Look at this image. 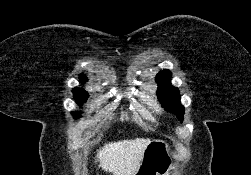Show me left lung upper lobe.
Masks as SVG:
<instances>
[{"mask_svg": "<svg viewBox=\"0 0 251 175\" xmlns=\"http://www.w3.org/2000/svg\"><path fill=\"white\" fill-rule=\"evenodd\" d=\"M158 83L157 97L163 107L177 115L179 120H183L184 108L180 104L178 89L171 86V72L163 70L155 78Z\"/></svg>", "mask_w": 251, "mask_h": 175, "instance_id": "5c2ea615", "label": "left lung upper lobe"}]
</instances>
